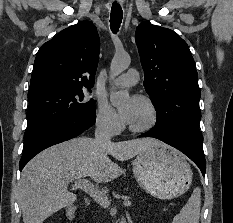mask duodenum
I'll return each instance as SVG.
<instances>
[{"label":"duodenum","mask_w":233,"mask_h":223,"mask_svg":"<svg viewBox=\"0 0 233 223\" xmlns=\"http://www.w3.org/2000/svg\"><path fill=\"white\" fill-rule=\"evenodd\" d=\"M66 216L69 220H73L76 217V206L71 205V206L67 207ZM121 223H126V222L122 221Z\"/></svg>","instance_id":"obj_1"}]
</instances>
